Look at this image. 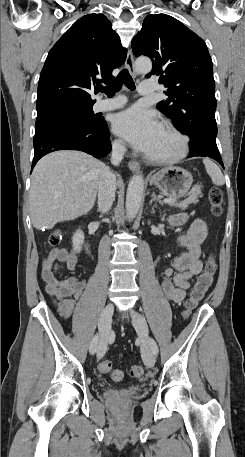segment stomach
Masks as SVG:
<instances>
[{
  "label": "stomach",
  "mask_w": 245,
  "mask_h": 457,
  "mask_svg": "<svg viewBox=\"0 0 245 457\" xmlns=\"http://www.w3.org/2000/svg\"><path fill=\"white\" fill-rule=\"evenodd\" d=\"M149 182L155 184L166 196L179 198V196H184L192 186L193 176L186 168L165 166L152 174Z\"/></svg>",
  "instance_id": "1"
}]
</instances>
